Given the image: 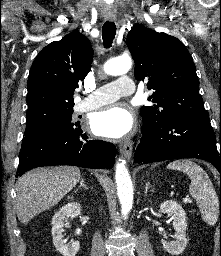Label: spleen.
<instances>
[{"label":"spleen","instance_id":"obj_1","mask_svg":"<svg viewBox=\"0 0 221 256\" xmlns=\"http://www.w3.org/2000/svg\"><path fill=\"white\" fill-rule=\"evenodd\" d=\"M167 168L182 171L189 176V193L196 200L203 220L209 225H215L219 216V199L203 168L190 160L173 161Z\"/></svg>","mask_w":221,"mask_h":256}]
</instances>
